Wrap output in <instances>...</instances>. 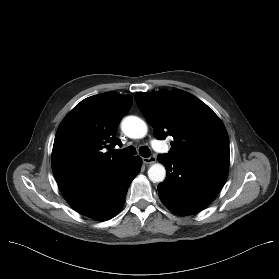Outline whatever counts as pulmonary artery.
I'll return each instance as SVG.
<instances>
[{
    "mask_svg": "<svg viewBox=\"0 0 279 279\" xmlns=\"http://www.w3.org/2000/svg\"><path fill=\"white\" fill-rule=\"evenodd\" d=\"M155 143H156V150H157L158 152H161V150H160V148H159V146L161 145L160 142H155Z\"/></svg>",
    "mask_w": 279,
    "mask_h": 279,
    "instance_id": "obj_1",
    "label": "pulmonary artery"
}]
</instances>
